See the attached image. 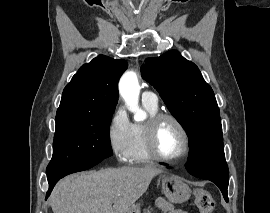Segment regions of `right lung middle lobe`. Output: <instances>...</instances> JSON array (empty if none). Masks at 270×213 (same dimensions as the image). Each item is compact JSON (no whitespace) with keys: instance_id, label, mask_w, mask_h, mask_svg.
Instances as JSON below:
<instances>
[{"instance_id":"obj_1","label":"right lung middle lobe","mask_w":270,"mask_h":213,"mask_svg":"<svg viewBox=\"0 0 270 213\" xmlns=\"http://www.w3.org/2000/svg\"><path fill=\"white\" fill-rule=\"evenodd\" d=\"M111 117L112 113L56 115L53 156L47 173L63 172L110 157Z\"/></svg>"}]
</instances>
